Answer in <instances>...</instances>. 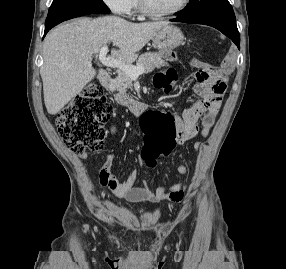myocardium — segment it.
<instances>
[{"label": "myocardium", "mask_w": 286, "mask_h": 269, "mask_svg": "<svg viewBox=\"0 0 286 269\" xmlns=\"http://www.w3.org/2000/svg\"><path fill=\"white\" fill-rule=\"evenodd\" d=\"M137 2H138L139 10L144 16L151 18V19H165V18L172 17L180 13L181 11H183L187 7L189 0H182L179 6H177L175 9L168 11V12H164V13H156L152 11L148 7L146 0H137Z\"/></svg>", "instance_id": "obj_1"}]
</instances>
